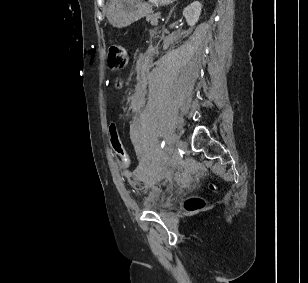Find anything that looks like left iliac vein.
<instances>
[{
	"label": "left iliac vein",
	"instance_id": "obj_1",
	"mask_svg": "<svg viewBox=\"0 0 308 283\" xmlns=\"http://www.w3.org/2000/svg\"><path fill=\"white\" fill-rule=\"evenodd\" d=\"M186 147L187 145L183 140L177 141V149L174 152L175 159H178L180 157L181 153L186 150Z\"/></svg>",
	"mask_w": 308,
	"mask_h": 283
}]
</instances>
